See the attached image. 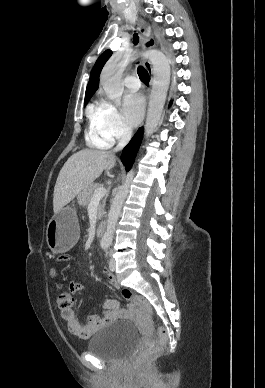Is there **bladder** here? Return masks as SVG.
I'll return each instance as SVG.
<instances>
[{
  "instance_id": "obj_1",
  "label": "bladder",
  "mask_w": 265,
  "mask_h": 388,
  "mask_svg": "<svg viewBox=\"0 0 265 388\" xmlns=\"http://www.w3.org/2000/svg\"><path fill=\"white\" fill-rule=\"evenodd\" d=\"M138 330L132 322L109 324L100 329L90 340L87 351L104 361H118L136 343Z\"/></svg>"
}]
</instances>
